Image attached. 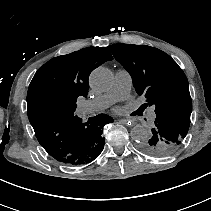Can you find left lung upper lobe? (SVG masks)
I'll return each instance as SVG.
<instances>
[{
    "mask_svg": "<svg viewBox=\"0 0 211 211\" xmlns=\"http://www.w3.org/2000/svg\"><path fill=\"white\" fill-rule=\"evenodd\" d=\"M107 49L129 72L138 95L155 109L153 136L141 150L152 156L175 152L190 126L192 100L188 80L178 64L165 52L146 45L114 44ZM143 109V110H142Z\"/></svg>",
    "mask_w": 211,
    "mask_h": 211,
    "instance_id": "obj_1",
    "label": "left lung upper lobe"
}]
</instances>
